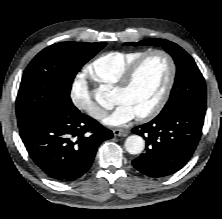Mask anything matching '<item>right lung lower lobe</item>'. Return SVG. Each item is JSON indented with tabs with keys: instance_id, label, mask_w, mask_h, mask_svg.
<instances>
[{
	"instance_id": "98d812e1",
	"label": "right lung lower lobe",
	"mask_w": 222,
	"mask_h": 219,
	"mask_svg": "<svg viewBox=\"0 0 222 219\" xmlns=\"http://www.w3.org/2000/svg\"><path fill=\"white\" fill-rule=\"evenodd\" d=\"M34 163L50 178L70 182L91 167L97 147L113 137L74 105L60 104L41 118L19 127Z\"/></svg>"
}]
</instances>
